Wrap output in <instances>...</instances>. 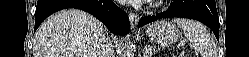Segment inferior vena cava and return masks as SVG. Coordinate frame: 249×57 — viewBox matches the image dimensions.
Wrapping results in <instances>:
<instances>
[{"mask_svg": "<svg viewBox=\"0 0 249 57\" xmlns=\"http://www.w3.org/2000/svg\"><path fill=\"white\" fill-rule=\"evenodd\" d=\"M98 57H114L113 45L108 38H102Z\"/></svg>", "mask_w": 249, "mask_h": 57, "instance_id": "inferior-vena-cava-1", "label": "inferior vena cava"}]
</instances>
